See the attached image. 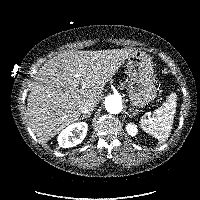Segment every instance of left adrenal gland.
Segmentation results:
<instances>
[{"mask_svg":"<svg viewBox=\"0 0 200 200\" xmlns=\"http://www.w3.org/2000/svg\"><path fill=\"white\" fill-rule=\"evenodd\" d=\"M137 113L134 111V109L133 108H129V113H128V115H129V117H133L134 115H136Z\"/></svg>","mask_w":200,"mask_h":200,"instance_id":"obj_1","label":"left adrenal gland"}]
</instances>
